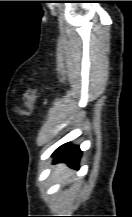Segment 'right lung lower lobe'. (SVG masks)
<instances>
[{
	"label": "right lung lower lobe",
	"mask_w": 132,
	"mask_h": 217,
	"mask_svg": "<svg viewBox=\"0 0 132 217\" xmlns=\"http://www.w3.org/2000/svg\"><path fill=\"white\" fill-rule=\"evenodd\" d=\"M81 154L78 146H71L70 143H66L53 153L54 162H65L71 167L78 168Z\"/></svg>",
	"instance_id": "obj_1"
}]
</instances>
